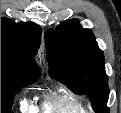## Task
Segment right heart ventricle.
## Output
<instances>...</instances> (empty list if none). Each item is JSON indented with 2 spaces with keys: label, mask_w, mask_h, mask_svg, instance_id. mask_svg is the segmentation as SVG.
<instances>
[{
  "label": "right heart ventricle",
  "mask_w": 121,
  "mask_h": 113,
  "mask_svg": "<svg viewBox=\"0 0 121 113\" xmlns=\"http://www.w3.org/2000/svg\"><path fill=\"white\" fill-rule=\"evenodd\" d=\"M23 109L29 113H54L55 110L67 109L66 101L57 97H50L43 101L23 103ZM76 109H81L76 107Z\"/></svg>",
  "instance_id": "1"
}]
</instances>
